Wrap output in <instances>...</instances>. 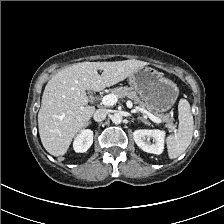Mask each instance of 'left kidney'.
I'll use <instances>...</instances> for the list:
<instances>
[{
  "label": "left kidney",
  "instance_id": "left-kidney-1",
  "mask_svg": "<svg viewBox=\"0 0 224 224\" xmlns=\"http://www.w3.org/2000/svg\"><path fill=\"white\" fill-rule=\"evenodd\" d=\"M165 131L138 129L133 132V138L139 148L147 153L160 155L164 150ZM153 139V143L150 142Z\"/></svg>",
  "mask_w": 224,
  "mask_h": 224
}]
</instances>
